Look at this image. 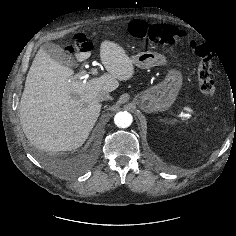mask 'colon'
<instances>
[{
	"instance_id": "1",
	"label": "colon",
	"mask_w": 236,
	"mask_h": 236,
	"mask_svg": "<svg viewBox=\"0 0 236 236\" xmlns=\"http://www.w3.org/2000/svg\"><path fill=\"white\" fill-rule=\"evenodd\" d=\"M129 31L136 38L163 45L178 44L187 37L185 32L172 25L152 24L139 19L131 22ZM189 45L200 58L197 70L199 90L204 95L213 97L216 95L217 88L212 75V51L207 45L195 40H190ZM91 47L90 41L82 33H78L71 44L72 50L89 51Z\"/></svg>"
}]
</instances>
